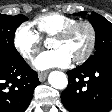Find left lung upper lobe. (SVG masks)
Here are the masks:
<instances>
[{"mask_svg":"<svg viewBox=\"0 0 112 112\" xmlns=\"http://www.w3.org/2000/svg\"><path fill=\"white\" fill-rule=\"evenodd\" d=\"M87 12L76 13L78 16H85ZM96 33L95 53L82 65H87L93 60L107 54H112V23L101 15L92 12L88 17Z\"/></svg>","mask_w":112,"mask_h":112,"instance_id":"5c2ea615","label":"left lung upper lobe"}]
</instances>
